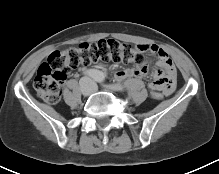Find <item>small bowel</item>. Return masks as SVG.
<instances>
[{
  "instance_id": "c3829d8e",
  "label": "small bowel",
  "mask_w": 219,
  "mask_h": 174,
  "mask_svg": "<svg viewBox=\"0 0 219 174\" xmlns=\"http://www.w3.org/2000/svg\"><path fill=\"white\" fill-rule=\"evenodd\" d=\"M136 48L143 51H150L159 58L158 66L160 69L155 71L154 80L150 81L148 84L149 89L152 91L162 90L165 95L172 94L175 89L176 69L169 55L157 45L140 44L137 45ZM146 72V66L140 68H127L116 72L115 78L117 80H123L129 77L142 78Z\"/></svg>"
}]
</instances>
